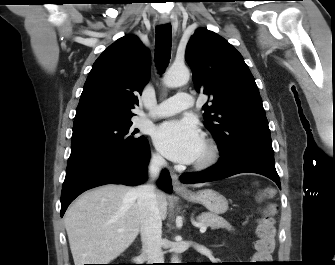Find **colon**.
I'll return each mask as SVG.
<instances>
[{
  "label": "colon",
  "instance_id": "colon-1",
  "mask_svg": "<svg viewBox=\"0 0 335 265\" xmlns=\"http://www.w3.org/2000/svg\"><path fill=\"white\" fill-rule=\"evenodd\" d=\"M263 196L267 197L268 192L264 193ZM257 237L254 263H256V265H269L271 263L272 253L275 249L274 228L270 217H264L259 221Z\"/></svg>",
  "mask_w": 335,
  "mask_h": 265
}]
</instances>
